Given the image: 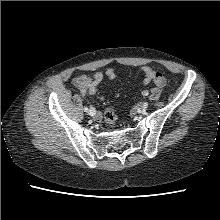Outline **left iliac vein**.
<instances>
[{"label":"left iliac vein","mask_w":220,"mask_h":220,"mask_svg":"<svg viewBox=\"0 0 220 220\" xmlns=\"http://www.w3.org/2000/svg\"><path fill=\"white\" fill-rule=\"evenodd\" d=\"M147 107H148V103H144V104L142 105V109H143V110H146Z\"/></svg>","instance_id":"1"}]
</instances>
